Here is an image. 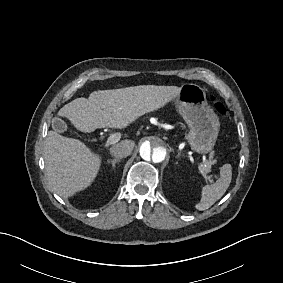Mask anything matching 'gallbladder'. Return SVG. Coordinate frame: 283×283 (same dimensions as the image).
I'll list each match as a JSON object with an SVG mask.
<instances>
[{
    "instance_id": "obj_1",
    "label": "gallbladder",
    "mask_w": 283,
    "mask_h": 283,
    "mask_svg": "<svg viewBox=\"0 0 283 283\" xmlns=\"http://www.w3.org/2000/svg\"><path fill=\"white\" fill-rule=\"evenodd\" d=\"M52 126L57 132L64 133L68 130L67 123L59 118H54L52 120Z\"/></svg>"
}]
</instances>
